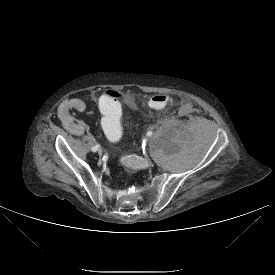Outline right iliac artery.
<instances>
[{
    "label": "right iliac artery",
    "mask_w": 275,
    "mask_h": 275,
    "mask_svg": "<svg viewBox=\"0 0 275 275\" xmlns=\"http://www.w3.org/2000/svg\"><path fill=\"white\" fill-rule=\"evenodd\" d=\"M100 147V145L98 144V145H95L94 147H92V151L93 152H96L97 150H98V148Z\"/></svg>",
    "instance_id": "obj_1"
}]
</instances>
